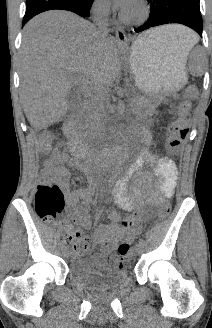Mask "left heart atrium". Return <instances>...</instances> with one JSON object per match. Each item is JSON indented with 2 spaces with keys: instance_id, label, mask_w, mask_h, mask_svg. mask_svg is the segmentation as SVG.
Instances as JSON below:
<instances>
[{
  "instance_id": "left-heart-atrium-1",
  "label": "left heart atrium",
  "mask_w": 212,
  "mask_h": 328,
  "mask_svg": "<svg viewBox=\"0 0 212 328\" xmlns=\"http://www.w3.org/2000/svg\"><path fill=\"white\" fill-rule=\"evenodd\" d=\"M114 1L118 6H120L125 11L129 10L134 2V0H114Z\"/></svg>"
}]
</instances>
